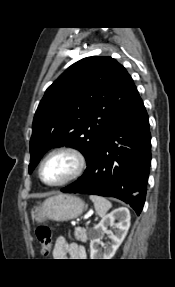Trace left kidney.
<instances>
[{
	"label": "left kidney",
	"mask_w": 175,
	"mask_h": 287,
	"mask_svg": "<svg viewBox=\"0 0 175 287\" xmlns=\"http://www.w3.org/2000/svg\"><path fill=\"white\" fill-rule=\"evenodd\" d=\"M115 220H118L115 223ZM108 226H114L115 234L109 233L111 243L108 246L100 248L101 239L107 232ZM130 227V212L127 208L121 207L113 210L102 218V220L94 227L92 231V240L90 242L91 259H111L116 253L119 246L125 239Z\"/></svg>",
	"instance_id": "5707ae66"
}]
</instances>
